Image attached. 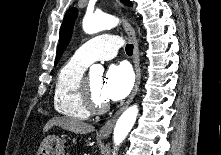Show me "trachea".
<instances>
[{
	"label": "trachea",
	"mask_w": 221,
	"mask_h": 155,
	"mask_svg": "<svg viewBox=\"0 0 221 155\" xmlns=\"http://www.w3.org/2000/svg\"><path fill=\"white\" fill-rule=\"evenodd\" d=\"M126 53L129 56H131L133 54V45L132 44H127L126 45Z\"/></svg>",
	"instance_id": "1"
}]
</instances>
